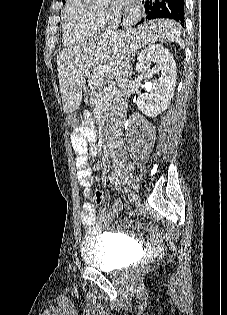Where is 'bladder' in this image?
I'll list each match as a JSON object with an SVG mask.
<instances>
[{
    "mask_svg": "<svg viewBox=\"0 0 227 315\" xmlns=\"http://www.w3.org/2000/svg\"><path fill=\"white\" fill-rule=\"evenodd\" d=\"M130 251V247L118 236H88L81 244L84 263L103 271H113L123 267V261Z\"/></svg>",
    "mask_w": 227,
    "mask_h": 315,
    "instance_id": "bladder-1",
    "label": "bladder"
}]
</instances>
